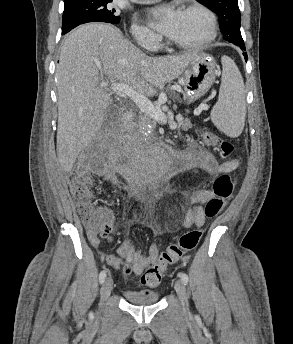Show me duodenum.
Instances as JSON below:
<instances>
[{"mask_svg": "<svg viewBox=\"0 0 293 344\" xmlns=\"http://www.w3.org/2000/svg\"><path fill=\"white\" fill-rule=\"evenodd\" d=\"M132 122V114L127 113L122 119V126H128ZM173 161L177 165L178 169L183 168L189 163L188 156L185 152H174Z\"/></svg>", "mask_w": 293, "mask_h": 344, "instance_id": "obj_1", "label": "duodenum"}]
</instances>
